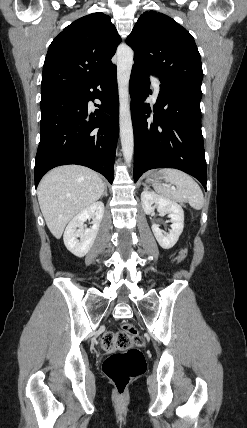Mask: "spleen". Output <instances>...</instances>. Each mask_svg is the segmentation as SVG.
Masks as SVG:
<instances>
[{"mask_svg":"<svg viewBox=\"0 0 247 428\" xmlns=\"http://www.w3.org/2000/svg\"><path fill=\"white\" fill-rule=\"evenodd\" d=\"M159 173L164 175L166 181L176 186L175 189L165 184L153 182L154 189L162 197L172 201L187 202L196 210L203 207L204 197L202 190L191 176L173 168L160 170Z\"/></svg>","mask_w":247,"mask_h":428,"instance_id":"3e777b00","label":"spleen"}]
</instances>
